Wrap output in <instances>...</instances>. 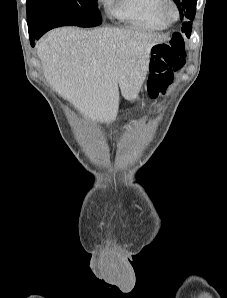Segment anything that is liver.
Masks as SVG:
<instances>
[{
    "mask_svg": "<svg viewBox=\"0 0 227 298\" xmlns=\"http://www.w3.org/2000/svg\"><path fill=\"white\" fill-rule=\"evenodd\" d=\"M167 35L102 27H61L37 45L46 80L93 121H115L119 87L126 100L138 97L149 70L150 52Z\"/></svg>",
    "mask_w": 227,
    "mask_h": 298,
    "instance_id": "6515ba94",
    "label": "liver"
}]
</instances>
